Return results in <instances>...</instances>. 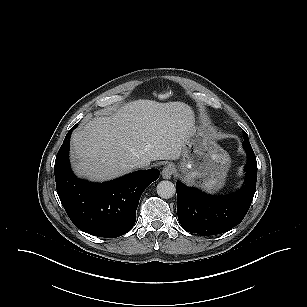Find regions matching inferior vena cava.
<instances>
[{
	"mask_svg": "<svg viewBox=\"0 0 307 307\" xmlns=\"http://www.w3.org/2000/svg\"><path fill=\"white\" fill-rule=\"evenodd\" d=\"M135 167H146V166H148L149 164L146 162V161H144V160H138V161H136L135 162Z\"/></svg>",
	"mask_w": 307,
	"mask_h": 307,
	"instance_id": "inferior-vena-cava-1",
	"label": "inferior vena cava"
}]
</instances>
